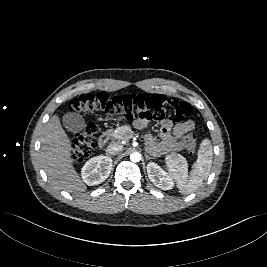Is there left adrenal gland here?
<instances>
[{"instance_id": "left-adrenal-gland-1", "label": "left adrenal gland", "mask_w": 267, "mask_h": 267, "mask_svg": "<svg viewBox=\"0 0 267 267\" xmlns=\"http://www.w3.org/2000/svg\"><path fill=\"white\" fill-rule=\"evenodd\" d=\"M153 159V157H150L148 154H146V160Z\"/></svg>"}]
</instances>
